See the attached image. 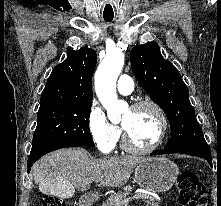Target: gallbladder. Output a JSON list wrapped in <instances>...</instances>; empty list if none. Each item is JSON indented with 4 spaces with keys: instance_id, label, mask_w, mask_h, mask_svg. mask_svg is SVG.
Wrapping results in <instances>:
<instances>
[{
    "instance_id": "1",
    "label": "gallbladder",
    "mask_w": 221,
    "mask_h": 206,
    "mask_svg": "<svg viewBox=\"0 0 221 206\" xmlns=\"http://www.w3.org/2000/svg\"><path fill=\"white\" fill-rule=\"evenodd\" d=\"M39 184L38 190H42V194H52L53 198H71V194H75L71 181H40Z\"/></svg>"
}]
</instances>
